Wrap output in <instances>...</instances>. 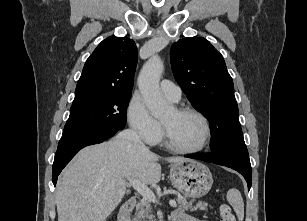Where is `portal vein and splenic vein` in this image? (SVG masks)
Masks as SVG:
<instances>
[{"mask_svg": "<svg viewBox=\"0 0 307 221\" xmlns=\"http://www.w3.org/2000/svg\"><path fill=\"white\" fill-rule=\"evenodd\" d=\"M128 181H129V184L131 186H133V188L139 194L142 195L144 200H146L148 202H153V203L157 202L155 194L153 193V191L147 185H145L144 183H142L141 181H139L136 178H129ZM169 204H170L171 207H174V208L177 206V204L174 200H170Z\"/></svg>", "mask_w": 307, "mask_h": 221, "instance_id": "18ae733b", "label": "portal vein and splenic vein"}]
</instances>
